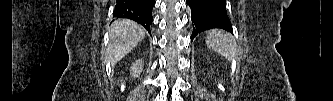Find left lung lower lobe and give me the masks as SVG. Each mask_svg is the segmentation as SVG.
<instances>
[{
    "instance_id": "obj_1",
    "label": "left lung lower lobe",
    "mask_w": 333,
    "mask_h": 101,
    "mask_svg": "<svg viewBox=\"0 0 333 101\" xmlns=\"http://www.w3.org/2000/svg\"><path fill=\"white\" fill-rule=\"evenodd\" d=\"M186 3L192 12L193 32L191 41L198 33L212 28H221L230 33L233 32L231 22L227 16L225 0H186Z\"/></svg>"
}]
</instances>
